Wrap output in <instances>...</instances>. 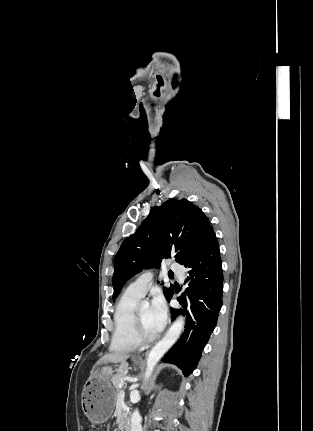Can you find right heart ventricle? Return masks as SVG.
<instances>
[{
	"instance_id": "e07e8e85",
	"label": "right heart ventricle",
	"mask_w": 313,
	"mask_h": 431,
	"mask_svg": "<svg viewBox=\"0 0 313 431\" xmlns=\"http://www.w3.org/2000/svg\"><path fill=\"white\" fill-rule=\"evenodd\" d=\"M139 299V297L124 293L116 303L111 350L129 352L139 346L133 336L134 311Z\"/></svg>"
}]
</instances>
